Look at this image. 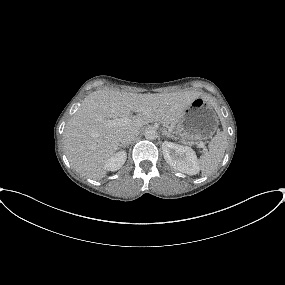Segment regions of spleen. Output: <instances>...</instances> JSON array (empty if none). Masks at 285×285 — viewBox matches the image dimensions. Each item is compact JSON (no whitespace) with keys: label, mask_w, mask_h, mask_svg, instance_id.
Here are the masks:
<instances>
[{"label":"spleen","mask_w":285,"mask_h":285,"mask_svg":"<svg viewBox=\"0 0 285 285\" xmlns=\"http://www.w3.org/2000/svg\"><path fill=\"white\" fill-rule=\"evenodd\" d=\"M227 146V134L217 133L209 143V151L200 156L198 160L202 176H208L214 172L223 159Z\"/></svg>","instance_id":"1"}]
</instances>
